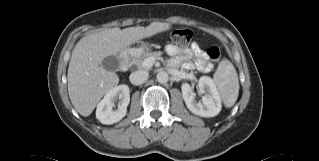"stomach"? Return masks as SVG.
Here are the masks:
<instances>
[{"label":"stomach","mask_w":319,"mask_h":161,"mask_svg":"<svg viewBox=\"0 0 319 161\" xmlns=\"http://www.w3.org/2000/svg\"><path fill=\"white\" fill-rule=\"evenodd\" d=\"M148 46L144 43H141L139 46V49H137L138 52L143 51V50H147Z\"/></svg>","instance_id":"0dacf381"}]
</instances>
